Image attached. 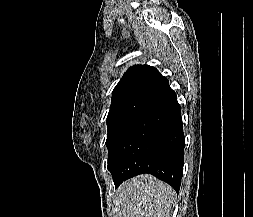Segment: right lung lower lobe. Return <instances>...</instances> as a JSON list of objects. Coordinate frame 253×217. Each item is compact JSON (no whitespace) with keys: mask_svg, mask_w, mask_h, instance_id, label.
Segmentation results:
<instances>
[{"mask_svg":"<svg viewBox=\"0 0 253 217\" xmlns=\"http://www.w3.org/2000/svg\"><path fill=\"white\" fill-rule=\"evenodd\" d=\"M184 146L181 107L170 88L150 103L117 144L108 161L115 186L149 173L179 192Z\"/></svg>","mask_w":253,"mask_h":217,"instance_id":"1","label":"right lung lower lobe"}]
</instances>
